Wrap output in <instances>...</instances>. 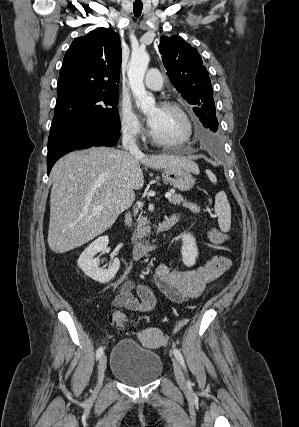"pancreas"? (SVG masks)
<instances>
[{
    "label": "pancreas",
    "instance_id": "pancreas-1",
    "mask_svg": "<svg viewBox=\"0 0 299 427\" xmlns=\"http://www.w3.org/2000/svg\"><path fill=\"white\" fill-rule=\"evenodd\" d=\"M169 202L174 205L182 204L183 207L188 208L193 213L200 212V207L197 204L185 201L183 196L180 194H172L171 198H169ZM150 231L151 228L149 226V220L141 215L137 220V233L133 238L137 240L143 238L144 236H148Z\"/></svg>",
    "mask_w": 299,
    "mask_h": 427
}]
</instances>
